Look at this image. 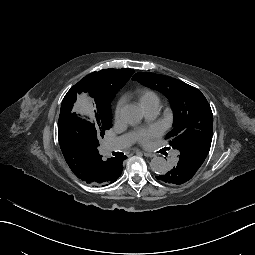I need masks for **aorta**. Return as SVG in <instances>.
<instances>
[{
	"label": "aorta",
	"mask_w": 255,
	"mask_h": 255,
	"mask_svg": "<svg viewBox=\"0 0 255 255\" xmlns=\"http://www.w3.org/2000/svg\"><path fill=\"white\" fill-rule=\"evenodd\" d=\"M122 119L130 124L135 125L143 118L141 109L133 104L126 105L121 110ZM151 170L156 174H165L169 171L168 162L163 157H154L150 162Z\"/></svg>",
	"instance_id": "aorta-1"
}]
</instances>
